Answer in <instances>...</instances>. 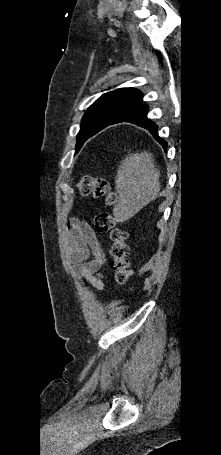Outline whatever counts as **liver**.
Masks as SVG:
<instances>
[{
    "mask_svg": "<svg viewBox=\"0 0 221 455\" xmlns=\"http://www.w3.org/2000/svg\"><path fill=\"white\" fill-rule=\"evenodd\" d=\"M160 170L149 152L128 154L120 162L115 177L118 200L113 208L115 221L125 222L160 192Z\"/></svg>",
    "mask_w": 221,
    "mask_h": 455,
    "instance_id": "obj_1",
    "label": "liver"
}]
</instances>
